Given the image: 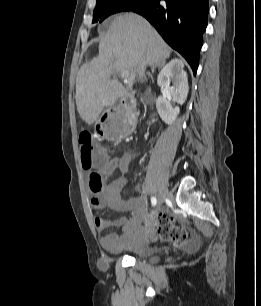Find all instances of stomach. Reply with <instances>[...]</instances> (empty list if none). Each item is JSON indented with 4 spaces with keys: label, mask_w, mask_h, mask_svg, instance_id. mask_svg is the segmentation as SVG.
<instances>
[{
    "label": "stomach",
    "mask_w": 261,
    "mask_h": 306,
    "mask_svg": "<svg viewBox=\"0 0 261 306\" xmlns=\"http://www.w3.org/2000/svg\"><path fill=\"white\" fill-rule=\"evenodd\" d=\"M136 121L128 116V115H122V125L118 132V135L120 137H125L133 132L135 128Z\"/></svg>",
    "instance_id": "1"
}]
</instances>
